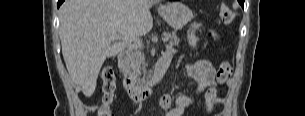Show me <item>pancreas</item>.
Masks as SVG:
<instances>
[{"label":"pancreas","mask_w":305,"mask_h":116,"mask_svg":"<svg viewBox=\"0 0 305 116\" xmlns=\"http://www.w3.org/2000/svg\"><path fill=\"white\" fill-rule=\"evenodd\" d=\"M168 37L170 38L169 47L172 48L173 45H178L179 39L175 33H169ZM130 50V59L129 63L126 65V72L129 77L136 83L142 84L144 78H141L142 70L145 68V58L144 54L138 48Z\"/></svg>","instance_id":"pancreas-1"}]
</instances>
